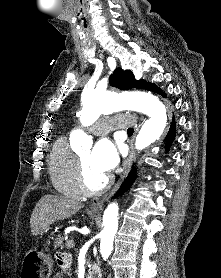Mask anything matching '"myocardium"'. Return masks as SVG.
<instances>
[{
  "mask_svg": "<svg viewBox=\"0 0 221 278\" xmlns=\"http://www.w3.org/2000/svg\"><path fill=\"white\" fill-rule=\"evenodd\" d=\"M76 178H77L78 185L81 191L83 192V194L91 195V196L99 195L105 192L112 183V177L106 176L103 183L100 184L98 187L95 188L91 187L90 184L88 183L85 167L79 155L76 156Z\"/></svg>",
  "mask_w": 221,
  "mask_h": 278,
  "instance_id": "obj_1",
  "label": "myocardium"
}]
</instances>
